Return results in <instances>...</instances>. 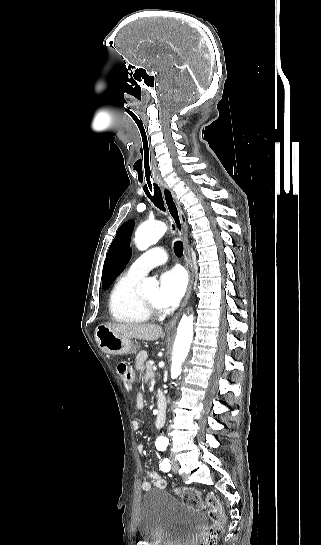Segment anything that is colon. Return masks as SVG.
<instances>
[{
	"label": "colon",
	"instance_id": "5ec220e1",
	"mask_svg": "<svg viewBox=\"0 0 321 545\" xmlns=\"http://www.w3.org/2000/svg\"><path fill=\"white\" fill-rule=\"evenodd\" d=\"M116 372L124 383L125 387L128 390H131L132 370L130 366L124 362L118 363L116 366ZM176 493L181 497L186 506L191 509L198 510L202 507V505L205 506L212 524L208 528L201 545H217V542L222 535L223 525L225 522L224 511L219 499L215 495H208L202 503L198 492L187 487L178 488Z\"/></svg>",
	"mask_w": 321,
	"mask_h": 545
}]
</instances>
